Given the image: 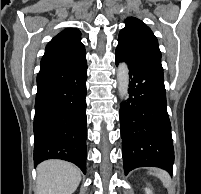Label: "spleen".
<instances>
[{
  "instance_id": "3e777b00",
  "label": "spleen",
  "mask_w": 201,
  "mask_h": 194,
  "mask_svg": "<svg viewBox=\"0 0 201 194\" xmlns=\"http://www.w3.org/2000/svg\"><path fill=\"white\" fill-rule=\"evenodd\" d=\"M149 173L152 174V175H155L156 177H158L162 181L164 187L169 188V186H170V177L165 171L156 170L154 172L150 171Z\"/></svg>"
}]
</instances>
